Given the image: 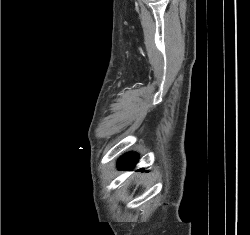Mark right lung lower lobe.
Segmentation results:
<instances>
[{"instance_id":"1","label":"right lung lower lobe","mask_w":250,"mask_h":235,"mask_svg":"<svg viewBox=\"0 0 250 235\" xmlns=\"http://www.w3.org/2000/svg\"><path fill=\"white\" fill-rule=\"evenodd\" d=\"M138 160V155L137 154H126L119 160V167L121 169H127L133 167Z\"/></svg>"}]
</instances>
